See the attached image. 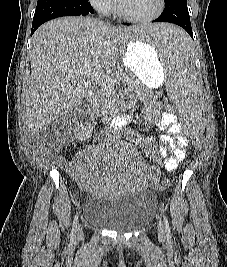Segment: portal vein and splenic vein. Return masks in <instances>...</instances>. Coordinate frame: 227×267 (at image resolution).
Listing matches in <instances>:
<instances>
[{"instance_id":"1","label":"portal vein and splenic vein","mask_w":227,"mask_h":267,"mask_svg":"<svg viewBox=\"0 0 227 267\" xmlns=\"http://www.w3.org/2000/svg\"><path fill=\"white\" fill-rule=\"evenodd\" d=\"M74 77H90L92 78L97 84L106 86L110 81L114 80L115 76H108L103 72H98L92 69H80L76 71H70Z\"/></svg>"}]
</instances>
